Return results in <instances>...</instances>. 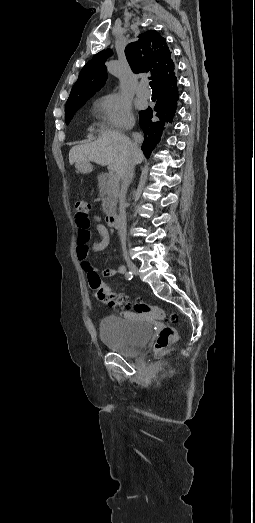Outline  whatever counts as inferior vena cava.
I'll list each match as a JSON object with an SVG mask.
<instances>
[{
    "label": "inferior vena cava",
    "mask_w": 255,
    "mask_h": 523,
    "mask_svg": "<svg viewBox=\"0 0 255 523\" xmlns=\"http://www.w3.org/2000/svg\"><path fill=\"white\" fill-rule=\"evenodd\" d=\"M134 142H132L128 152H126L125 156V162H124V168L120 174L121 178V190H120V212H119V218H118V232L120 236V242H121V248L123 252H126V230H127V222H126V212H125V200H126V194L128 190V186L133 178L134 174V166H135V160L134 156H132L133 152L135 150H139V144H141L143 138L141 134H133Z\"/></svg>",
    "instance_id": "602c4592"
}]
</instances>
